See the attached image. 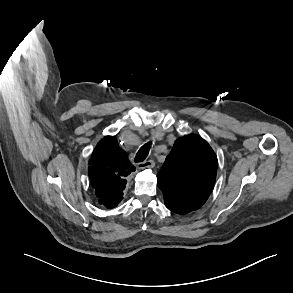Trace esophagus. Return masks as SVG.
Instances as JSON below:
<instances>
[{"mask_svg":"<svg viewBox=\"0 0 293 293\" xmlns=\"http://www.w3.org/2000/svg\"><path fill=\"white\" fill-rule=\"evenodd\" d=\"M154 167V161L153 160H146L144 162H141L138 164L139 169H145V168H152Z\"/></svg>","mask_w":293,"mask_h":293,"instance_id":"34e87169","label":"esophagus"}]
</instances>
